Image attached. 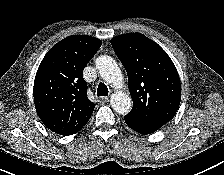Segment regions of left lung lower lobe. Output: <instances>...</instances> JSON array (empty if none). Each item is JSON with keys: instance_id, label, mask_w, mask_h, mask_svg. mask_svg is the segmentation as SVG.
Here are the masks:
<instances>
[{"instance_id": "0a47b994", "label": "left lung lower lobe", "mask_w": 224, "mask_h": 175, "mask_svg": "<svg viewBox=\"0 0 224 175\" xmlns=\"http://www.w3.org/2000/svg\"><path fill=\"white\" fill-rule=\"evenodd\" d=\"M125 122L134 131L141 134H151L161 128L164 123H143L125 118Z\"/></svg>"}]
</instances>
